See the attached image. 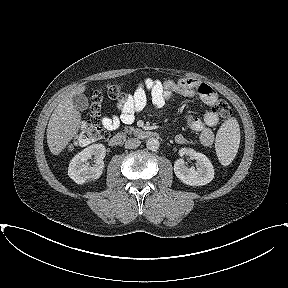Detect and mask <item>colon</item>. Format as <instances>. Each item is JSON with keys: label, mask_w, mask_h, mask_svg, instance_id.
Returning <instances> with one entry per match:
<instances>
[{"label": "colon", "mask_w": 288, "mask_h": 288, "mask_svg": "<svg viewBox=\"0 0 288 288\" xmlns=\"http://www.w3.org/2000/svg\"><path fill=\"white\" fill-rule=\"evenodd\" d=\"M106 93L109 98L117 101H123L127 98V94L123 90V87L118 83L109 84L106 87ZM215 111L222 117L230 115L229 105L219 100L214 106ZM103 111V93L96 91L91 97V116L92 120L84 121L80 127V131L77 135L76 142L78 144H91L108 136V130L104 124L100 123V119Z\"/></svg>", "instance_id": "colon-1"}]
</instances>
